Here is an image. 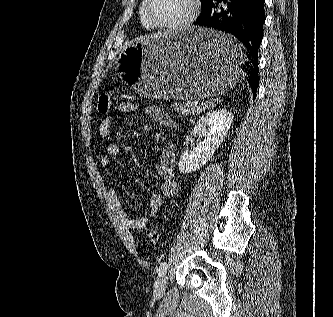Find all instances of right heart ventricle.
Returning a JSON list of instances; mask_svg holds the SVG:
<instances>
[{
	"instance_id": "right-heart-ventricle-1",
	"label": "right heart ventricle",
	"mask_w": 333,
	"mask_h": 317,
	"mask_svg": "<svg viewBox=\"0 0 333 317\" xmlns=\"http://www.w3.org/2000/svg\"><path fill=\"white\" fill-rule=\"evenodd\" d=\"M140 21H141V24L143 25L144 28H146L147 30H151L153 29L149 24L148 22L144 19L142 13H141V9H140Z\"/></svg>"
}]
</instances>
